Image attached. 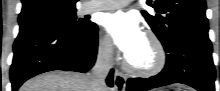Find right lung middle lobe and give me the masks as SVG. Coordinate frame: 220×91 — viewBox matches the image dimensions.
<instances>
[{
	"label": "right lung middle lobe",
	"instance_id": "obj_1",
	"mask_svg": "<svg viewBox=\"0 0 220 91\" xmlns=\"http://www.w3.org/2000/svg\"><path fill=\"white\" fill-rule=\"evenodd\" d=\"M76 8L59 13H52L33 22H43L58 27L72 34H85L95 28L97 25L89 20H77Z\"/></svg>",
	"mask_w": 220,
	"mask_h": 91
}]
</instances>
